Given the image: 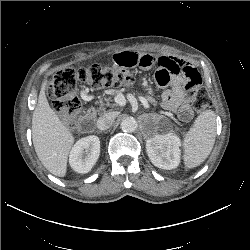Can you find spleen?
Instances as JSON below:
<instances>
[{"mask_svg": "<svg viewBox=\"0 0 250 250\" xmlns=\"http://www.w3.org/2000/svg\"><path fill=\"white\" fill-rule=\"evenodd\" d=\"M216 137V114L212 110L203 111L187 132L184 141L183 160L187 168H194L209 156Z\"/></svg>", "mask_w": 250, "mask_h": 250, "instance_id": "obj_1", "label": "spleen"}]
</instances>
